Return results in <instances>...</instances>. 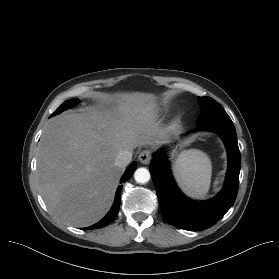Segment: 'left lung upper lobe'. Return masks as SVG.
I'll return each mask as SVG.
<instances>
[{
	"instance_id": "1",
	"label": "left lung upper lobe",
	"mask_w": 279,
	"mask_h": 279,
	"mask_svg": "<svg viewBox=\"0 0 279 279\" xmlns=\"http://www.w3.org/2000/svg\"><path fill=\"white\" fill-rule=\"evenodd\" d=\"M201 105L197 125L214 121H232L222 106L210 97H198Z\"/></svg>"
}]
</instances>
